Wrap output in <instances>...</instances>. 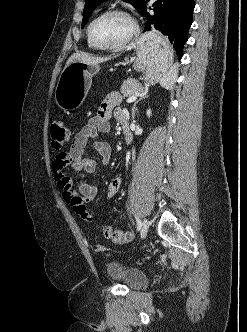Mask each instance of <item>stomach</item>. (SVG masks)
Listing matches in <instances>:
<instances>
[{
  "mask_svg": "<svg viewBox=\"0 0 247 332\" xmlns=\"http://www.w3.org/2000/svg\"><path fill=\"white\" fill-rule=\"evenodd\" d=\"M131 48L136 51L134 68L145 72V79L151 83L165 76L173 63V51L169 43L157 32L151 31L139 36ZM100 70L97 64L91 65L73 61L62 71L56 89L55 101L65 112L78 109L86 98L92 77Z\"/></svg>",
  "mask_w": 247,
  "mask_h": 332,
  "instance_id": "0dacf381",
  "label": "stomach"
}]
</instances>
